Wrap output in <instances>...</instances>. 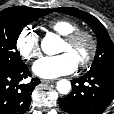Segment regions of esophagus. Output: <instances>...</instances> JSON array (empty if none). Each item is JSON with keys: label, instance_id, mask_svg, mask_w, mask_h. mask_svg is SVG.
I'll use <instances>...</instances> for the list:
<instances>
[{"label": "esophagus", "instance_id": "34e87169", "mask_svg": "<svg viewBox=\"0 0 114 114\" xmlns=\"http://www.w3.org/2000/svg\"><path fill=\"white\" fill-rule=\"evenodd\" d=\"M41 82L42 83H53V82H55V80L54 79H41Z\"/></svg>", "mask_w": 114, "mask_h": 114}]
</instances>
